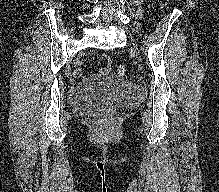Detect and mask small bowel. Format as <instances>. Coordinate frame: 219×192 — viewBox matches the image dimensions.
I'll list each match as a JSON object with an SVG mask.
<instances>
[{"instance_id":"1","label":"small bowel","mask_w":219,"mask_h":192,"mask_svg":"<svg viewBox=\"0 0 219 192\" xmlns=\"http://www.w3.org/2000/svg\"><path fill=\"white\" fill-rule=\"evenodd\" d=\"M109 71H110L109 67H105V68L101 69L102 73H108ZM79 74H81V73L79 72Z\"/></svg>"}]
</instances>
